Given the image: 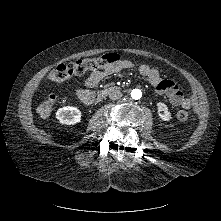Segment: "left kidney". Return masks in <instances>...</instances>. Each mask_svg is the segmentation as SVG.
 <instances>
[{
    "label": "left kidney",
    "mask_w": 221,
    "mask_h": 221,
    "mask_svg": "<svg viewBox=\"0 0 221 221\" xmlns=\"http://www.w3.org/2000/svg\"><path fill=\"white\" fill-rule=\"evenodd\" d=\"M157 107H158L159 117L163 121H169L171 119V114L168 111V107L164 103H161V102L157 103Z\"/></svg>",
    "instance_id": "1"
}]
</instances>
